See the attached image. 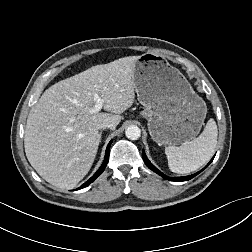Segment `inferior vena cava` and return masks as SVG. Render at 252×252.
<instances>
[{"label":"inferior vena cava","mask_w":252,"mask_h":252,"mask_svg":"<svg viewBox=\"0 0 252 252\" xmlns=\"http://www.w3.org/2000/svg\"><path fill=\"white\" fill-rule=\"evenodd\" d=\"M99 129H104V128H110V129H113L114 128V125L112 124V123H110V122H102V123H100V125H99V127H98Z\"/></svg>","instance_id":"inferior-vena-cava-1"}]
</instances>
